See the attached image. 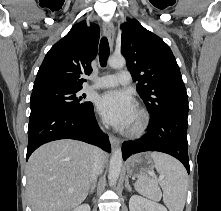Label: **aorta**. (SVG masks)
Wrapping results in <instances>:
<instances>
[{"label": "aorta", "instance_id": "aorta-1", "mask_svg": "<svg viewBox=\"0 0 221 211\" xmlns=\"http://www.w3.org/2000/svg\"><path fill=\"white\" fill-rule=\"evenodd\" d=\"M108 64L111 68L120 69L126 65V61L124 57L122 56H118V57L112 56L109 58ZM122 161H123L122 150L119 147L113 151L111 159H110L108 179H109L110 185L112 186L116 184L119 178L121 167H122Z\"/></svg>", "mask_w": 221, "mask_h": 211}]
</instances>
